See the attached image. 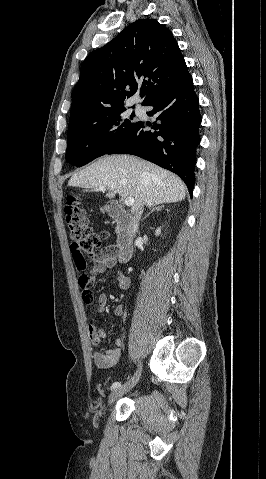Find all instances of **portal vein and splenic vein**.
I'll return each mask as SVG.
<instances>
[{"mask_svg":"<svg viewBox=\"0 0 266 479\" xmlns=\"http://www.w3.org/2000/svg\"><path fill=\"white\" fill-rule=\"evenodd\" d=\"M98 190L104 192V191H106V187H105V186H100V187L98 188ZM134 203H135V199H134L133 197H127V198H125V200H124V204H125L126 206H133Z\"/></svg>","mask_w":266,"mask_h":479,"instance_id":"18ae733b","label":"portal vein and splenic vein"}]
</instances>
